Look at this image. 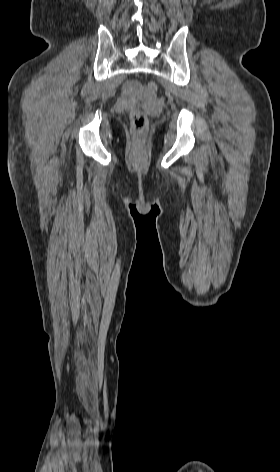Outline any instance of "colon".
Returning <instances> with one entry per match:
<instances>
[{
  "label": "colon",
  "mask_w": 280,
  "mask_h": 472,
  "mask_svg": "<svg viewBox=\"0 0 280 472\" xmlns=\"http://www.w3.org/2000/svg\"><path fill=\"white\" fill-rule=\"evenodd\" d=\"M157 89L155 82H149L146 86V90L151 94L155 93ZM130 120L135 135L138 137L144 136L148 128V119L145 113L140 109H133L130 113Z\"/></svg>",
  "instance_id": "obj_1"
}]
</instances>
